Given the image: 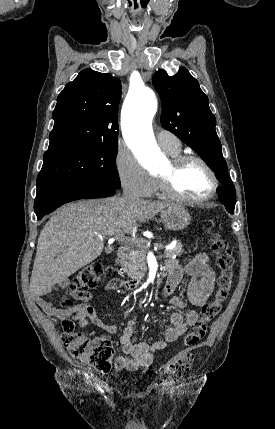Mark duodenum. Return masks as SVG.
Here are the masks:
<instances>
[{
  "instance_id": "410a0bca",
  "label": "duodenum",
  "mask_w": 275,
  "mask_h": 429,
  "mask_svg": "<svg viewBox=\"0 0 275 429\" xmlns=\"http://www.w3.org/2000/svg\"><path fill=\"white\" fill-rule=\"evenodd\" d=\"M129 254H130V251L128 248L120 247L117 252V258H116L117 264L120 266L123 265L127 261ZM142 285H143V282L140 280H132V281L124 282V287L127 290H136L141 288Z\"/></svg>"
}]
</instances>
